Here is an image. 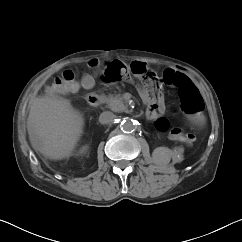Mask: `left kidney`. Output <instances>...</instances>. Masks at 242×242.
Here are the masks:
<instances>
[{
  "mask_svg": "<svg viewBox=\"0 0 242 242\" xmlns=\"http://www.w3.org/2000/svg\"><path fill=\"white\" fill-rule=\"evenodd\" d=\"M182 151L183 150L180 152ZM172 156V151L166 147H157L152 153L153 160L158 165L168 164ZM178 158L180 160L182 159L180 156H178Z\"/></svg>",
  "mask_w": 242,
  "mask_h": 242,
  "instance_id": "5707ae66",
  "label": "left kidney"
}]
</instances>
